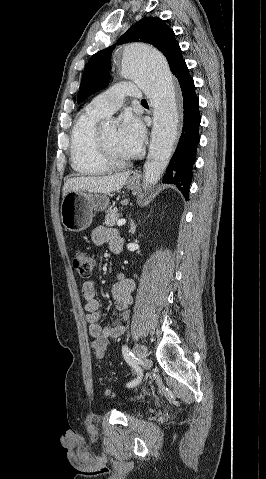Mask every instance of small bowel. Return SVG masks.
I'll use <instances>...</instances> for the list:
<instances>
[{
    "instance_id": "obj_1",
    "label": "small bowel",
    "mask_w": 266,
    "mask_h": 479,
    "mask_svg": "<svg viewBox=\"0 0 266 479\" xmlns=\"http://www.w3.org/2000/svg\"><path fill=\"white\" fill-rule=\"evenodd\" d=\"M92 240L97 245L117 242L122 247V239L116 234L115 230L108 227H98L92 233ZM134 282L124 276H119L118 281L112 288V295L115 301L117 315L114 322L103 327L101 320V304L96 298L95 287L92 282L86 281L82 285V294L85 299V309L87 311L86 321L88 323L89 335L94 338L117 339L124 331L123 322L128 318L129 308L133 303L132 292Z\"/></svg>"
}]
</instances>
